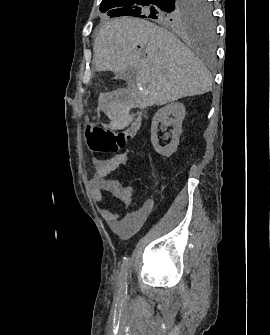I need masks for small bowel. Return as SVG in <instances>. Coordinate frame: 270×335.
Returning a JSON list of instances; mask_svg holds the SVG:
<instances>
[{
  "label": "small bowel",
  "mask_w": 270,
  "mask_h": 335,
  "mask_svg": "<svg viewBox=\"0 0 270 335\" xmlns=\"http://www.w3.org/2000/svg\"><path fill=\"white\" fill-rule=\"evenodd\" d=\"M128 161L129 155L127 153L117 154L108 160H95V172L92 178V196L94 199L102 202V192H108L118 199L126 209L122 216L109 208L103 207L99 209L101 217L110 228L122 237H128L137 232L145 220V215L134 208L133 188L107 178L112 171L128 163Z\"/></svg>",
  "instance_id": "small-bowel-1"
}]
</instances>
